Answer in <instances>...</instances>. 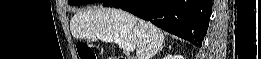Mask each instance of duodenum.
<instances>
[{"instance_id": "duodenum-1", "label": "duodenum", "mask_w": 261, "mask_h": 59, "mask_svg": "<svg viewBox=\"0 0 261 59\" xmlns=\"http://www.w3.org/2000/svg\"><path fill=\"white\" fill-rule=\"evenodd\" d=\"M124 58H125V57H122V56H121V57H118V59H124Z\"/></svg>"}]
</instances>
